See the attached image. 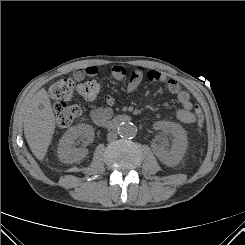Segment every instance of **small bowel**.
I'll return each mask as SVG.
<instances>
[{
    "mask_svg": "<svg viewBox=\"0 0 245 245\" xmlns=\"http://www.w3.org/2000/svg\"><path fill=\"white\" fill-rule=\"evenodd\" d=\"M98 73V67L91 65L82 69H78L74 72V79L76 81L83 80L86 76H94ZM111 76L116 80H123L127 76V70L121 65H113L110 68ZM147 78L152 82L163 83L168 91L177 99L180 104V108L177 111V118L182 123L191 124L196 122V116L193 112V104L190 99L188 91L183 89L177 81L169 78L162 72L157 70H148L142 66H133L127 82V91H135L142 80ZM105 105L101 107L93 108L90 111V118L97 124L99 120L110 119L113 113L112 106L115 104V97L111 94L105 98Z\"/></svg>",
    "mask_w": 245,
    "mask_h": 245,
    "instance_id": "obj_1",
    "label": "small bowel"
}]
</instances>
